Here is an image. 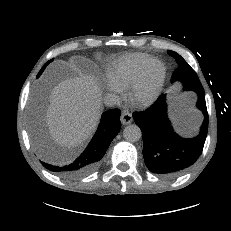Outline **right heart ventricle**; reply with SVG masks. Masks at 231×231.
Instances as JSON below:
<instances>
[{
    "label": "right heart ventricle",
    "instance_id": "right-heart-ventricle-1",
    "mask_svg": "<svg viewBox=\"0 0 231 231\" xmlns=\"http://www.w3.org/2000/svg\"><path fill=\"white\" fill-rule=\"evenodd\" d=\"M151 60L152 57L145 53L126 55L109 67L108 76L120 89H125L134 82L144 66Z\"/></svg>",
    "mask_w": 231,
    "mask_h": 231
}]
</instances>
